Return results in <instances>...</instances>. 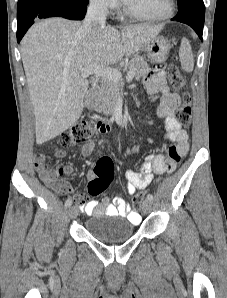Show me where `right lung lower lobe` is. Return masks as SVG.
I'll list each match as a JSON object with an SVG mask.
<instances>
[{
    "label": "right lung lower lobe",
    "instance_id": "1",
    "mask_svg": "<svg viewBox=\"0 0 227 298\" xmlns=\"http://www.w3.org/2000/svg\"><path fill=\"white\" fill-rule=\"evenodd\" d=\"M87 5L73 0H38L17 11V41L20 42L34 20L48 17H64L82 20Z\"/></svg>",
    "mask_w": 227,
    "mask_h": 298
}]
</instances>
